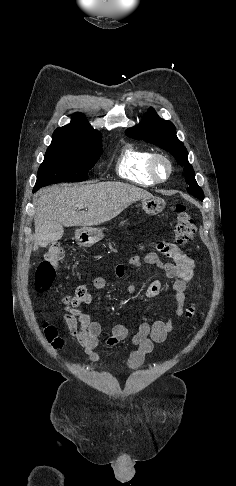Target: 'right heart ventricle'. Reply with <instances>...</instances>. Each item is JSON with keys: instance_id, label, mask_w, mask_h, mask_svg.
I'll use <instances>...</instances> for the list:
<instances>
[{"instance_id": "e07e8e85", "label": "right heart ventricle", "mask_w": 236, "mask_h": 486, "mask_svg": "<svg viewBox=\"0 0 236 486\" xmlns=\"http://www.w3.org/2000/svg\"><path fill=\"white\" fill-rule=\"evenodd\" d=\"M152 152L149 149L132 144L123 148L118 158L117 171L120 177L141 185L155 184L147 171V164Z\"/></svg>"}]
</instances>
